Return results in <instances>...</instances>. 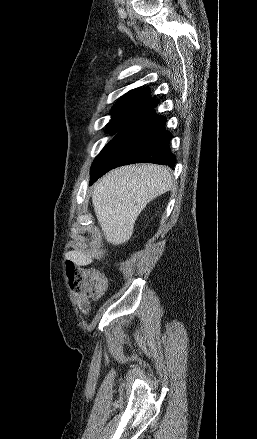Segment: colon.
<instances>
[{"mask_svg": "<svg viewBox=\"0 0 257 439\" xmlns=\"http://www.w3.org/2000/svg\"><path fill=\"white\" fill-rule=\"evenodd\" d=\"M69 286L77 298L82 312L88 310V301L102 296L106 290L107 280L100 272L80 268L68 262L66 264Z\"/></svg>", "mask_w": 257, "mask_h": 439, "instance_id": "1", "label": "colon"}]
</instances>
